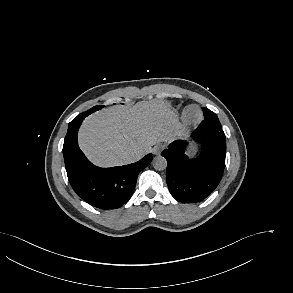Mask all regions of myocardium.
<instances>
[{"instance_id":"1","label":"myocardium","mask_w":293,"mask_h":293,"mask_svg":"<svg viewBox=\"0 0 293 293\" xmlns=\"http://www.w3.org/2000/svg\"><path fill=\"white\" fill-rule=\"evenodd\" d=\"M192 112H194L195 115H192ZM181 119L186 127H194L201 122L202 112L196 106H188L183 110Z\"/></svg>"}]
</instances>
